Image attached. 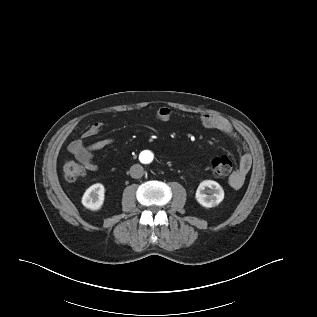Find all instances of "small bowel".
Returning a JSON list of instances; mask_svg holds the SVG:
<instances>
[{
	"label": "small bowel",
	"instance_id": "small-bowel-1",
	"mask_svg": "<svg viewBox=\"0 0 317 317\" xmlns=\"http://www.w3.org/2000/svg\"><path fill=\"white\" fill-rule=\"evenodd\" d=\"M174 116V110L169 107H160L155 112L156 119L160 121H169ZM201 124L209 129L217 130L231 139H237V135L229 123L223 116L215 113H204L200 116ZM103 128L101 122L93 123L87 130L82 133L81 138L72 141L69 146V152L83 164L89 171H96L98 166L94 162V152L102 150L114 143L112 138H104L86 145L85 139L98 135ZM252 164L251 156L244 153L240 157L238 169L230 176L229 184L233 188H240L249 172Z\"/></svg>",
	"mask_w": 317,
	"mask_h": 317
}]
</instances>
